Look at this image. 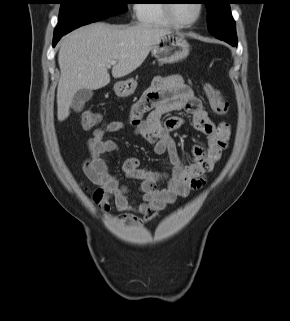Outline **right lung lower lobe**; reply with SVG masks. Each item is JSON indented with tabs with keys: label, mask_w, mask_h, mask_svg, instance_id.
Returning <instances> with one entry per match:
<instances>
[{
	"label": "right lung lower lobe",
	"mask_w": 290,
	"mask_h": 321,
	"mask_svg": "<svg viewBox=\"0 0 290 321\" xmlns=\"http://www.w3.org/2000/svg\"><path fill=\"white\" fill-rule=\"evenodd\" d=\"M64 35V33L62 34H54V40H53V46L56 45V43L60 40V38Z\"/></svg>",
	"instance_id": "right-lung-lower-lobe-1"
}]
</instances>
